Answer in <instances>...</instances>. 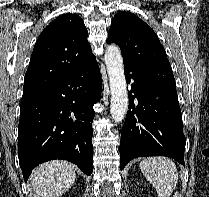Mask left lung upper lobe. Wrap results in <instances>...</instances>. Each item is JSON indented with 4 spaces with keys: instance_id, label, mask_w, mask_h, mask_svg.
I'll use <instances>...</instances> for the list:
<instances>
[{
    "instance_id": "obj_1",
    "label": "left lung upper lobe",
    "mask_w": 209,
    "mask_h": 197,
    "mask_svg": "<svg viewBox=\"0 0 209 197\" xmlns=\"http://www.w3.org/2000/svg\"><path fill=\"white\" fill-rule=\"evenodd\" d=\"M106 42L119 45L125 64L145 73L174 78L165 49L157 35L136 15L125 11L116 14Z\"/></svg>"
}]
</instances>
